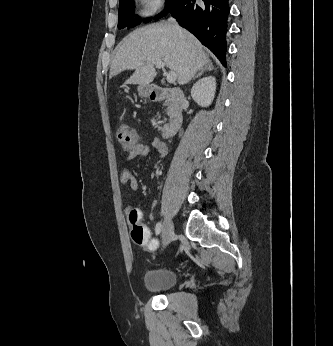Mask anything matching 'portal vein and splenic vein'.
<instances>
[{
    "label": "portal vein and splenic vein",
    "instance_id": "18ae733b",
    "mask_svg": "<svg viewBox=\"0 0 333 346\" xmlns=\"http://www.w3.org/2000/svg\"><path fill=\"white\" fill-rule=\"evenodd\" d=\"M155 66L159 69H163L165 67V64L162 61H156ZM166 79L168 83H175L176 81V73L175 72H169L166 74Z\"/></svg>",
    "mask_w": 333,
    "mask_h": 346
}]
</instances>
